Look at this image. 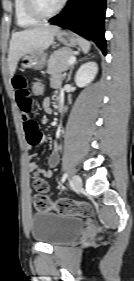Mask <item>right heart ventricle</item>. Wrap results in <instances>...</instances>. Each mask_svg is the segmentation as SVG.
<instances>
[{
    "mask_svg": "<svg viewBox=\"0 0 134 281\" xmlns=\"http://www.w3.org/2000/svg\"><path fill=\"white\" fill-rule=\"evenodd\" d=\"M14 14L19 27L29 28L38 24L39 20L31 16L25 6V0H14Z\"/></svg>",
    "mask_w": 134,
    "mask_h": 281,
    "instance_id": "e07e8e85",
    "label": "right heart ventricle"
}]
</instances>
